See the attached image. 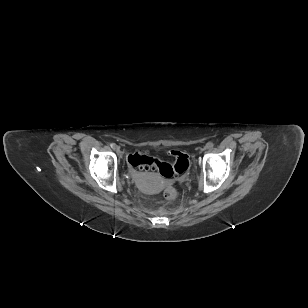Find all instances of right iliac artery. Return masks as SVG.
Here are the masks:
<instances>
[{"mask_svg": "<svg viewBox=\"0 0 308 308\" xmlns=\"http://www.w3.org/2000/svg\"><path fill=\"white\" fill-rule=\"evenodd\" d=\"M110 146H111V148L114 149L116 147V144L115 143H111Z\"/></svg>", "mask_w": 308, "mask_h": 308, "instance_id": "1", "label": "right iliac artery"}]
</instances>
